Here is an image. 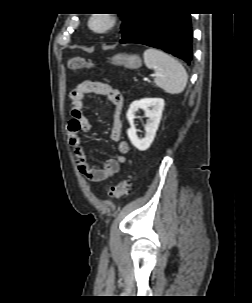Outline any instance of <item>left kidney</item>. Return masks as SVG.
<instances>
[{
  "label": "left kidney",
  "mask_w": 252,
  "mask_h": 303,
  "mask_svg": "<svg viewBox=\"0 0 252 303\" xmlns=\"http://www.w3.org/2000/svg\"><path fill=\"white\" fill-rule=\"evenodd\" d=\"M143 109L148 118L145 125V137L140 139L137 135V129L134 125L135 112ZM164 109V100L161 98H144L133 101L127 111L126 117L130 124L127 130L131 143L140 151L147 150L152 144L156 131L158 130L162 112Z\"/></svg>",
  "instance_id": "left-kidney-1"
}]
</instances>
